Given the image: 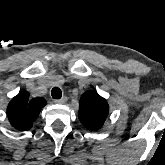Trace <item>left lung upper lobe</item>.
I'll return each instance as SVG.
<instances>
[{
  "instance_id": "5c2ea615",
  "label": "left lung upper lobe",
  "mask_w": 165,
  "mask_h": 165,
  "mask_svg": "<svg viewBox=\"0 0 165 165\" xmlns=\"http://www.w3.org/2000/svg\"><path fill=\"white\" fill-rule=\"evenodd\" d=\"M109 113L108 103L97 92H85L79 101V120L89 130L100 129Z\"/></svg>"
}]
</instances>
